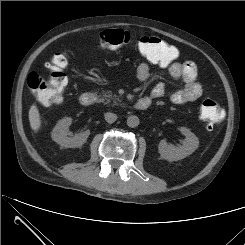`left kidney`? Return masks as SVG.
Here are the masks:
<instances>
[{"mask_svg":"<svg viewBox=\"0 0 245 245\" xmlns=\"http://www.w3.org/2000/svg\"><path fill=\"white\" fill-rule=\"evenodd\" d=\"M180 132L185 136L182 145L174 146L161 140L158 151L163 159L168 161H178L192 154L199 146V140L194 133L186 127H180Z\"/></svg>","mask_w":245,"mask_h":245,"instance_id":"obj_1","label":"left kidney"}]
</instances>
